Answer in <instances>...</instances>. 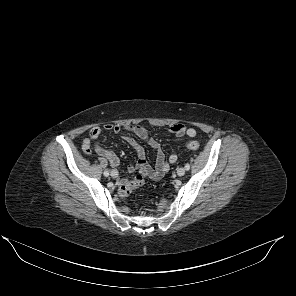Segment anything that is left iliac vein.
Returning a JSON list of instances; mask_svg holds the SVG:
<instances>
[{"instance_id":"obj_1","label":"left iliac vein","mask_w":296,"mask_h":296,"mask_svg":"<svg viewBox=\"0 0 296 296\" xmlns=\"http://www.w3.org/2000/svg\"><path fill=\"white\" fill-rule=\"evenodd\" d=\"M185 168H183V167H180V168H178L177 169V175L178 176H183L184 174H185Z\"/></svg>"}]
</instances>
